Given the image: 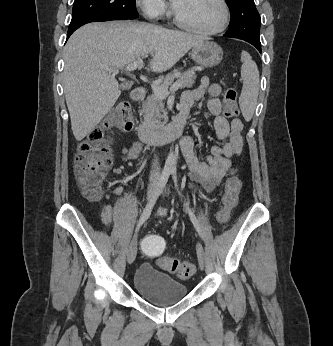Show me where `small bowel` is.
Instances as JSON below:
<instances>
[{
  "label": "small bowel",
  "mask_w": 333,
  "mask_h": 346,
  "mask_svg": "<svg viewBox=\"0 0 333 346\" xmlns=\"http://www.w3.org/2000/svg\"><path fill=\"white\" fill-rule=\"evenodd\" d=\"M221 87L211 83L208 77H202L198 87L184 92L179 115L188 117L196 102L205 95L208 96L207 107L214 117V128L222 145L213 146L210 153L202 160L195 154V143L191 136L181 141V151L188 166V186L199 195L212 193L229 172L231 158L238 156L242 150L243 123L239 118L228 120L222 113L219 99ZM143 145L139 141L124 147L121 159L124 162L135 160L142 152ZM112 206L107 204L100 213L101 222L110 227L112 223ZM160 214H166L165 209H159Z\"/></svg>",
  "instance_id": "c3829d8e"
}]
</instances>
